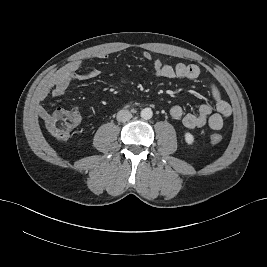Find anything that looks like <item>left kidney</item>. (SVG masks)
I'll use <instances>...</instances> for the list:
<instances>
[{"instance_id":"obj_1","label":"left kidney","mask_w":267,"mask_h":267,"mask_svg":"<svg viewBox=\"0 0 267 267\" xmlns=\"http://www.w3.org/2000/svg\"><path fill=\"white\" fill-rule=\"evenodd\" d=\"M184 137H185V141L188 145H192L194 143V136L191 133L186 132Z\"/></svg>"}]
</instances>
